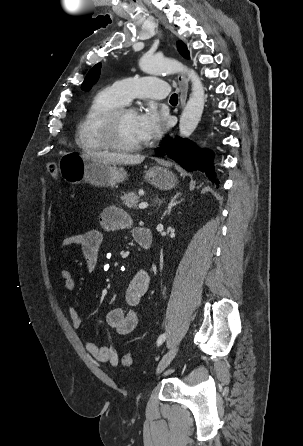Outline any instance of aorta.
Segmentation results:
<instances>
[{"label": "aorta", "instance_id": "1", "mask_svg": "<svg viewBox=\"0 0 303 446\" xmlns=\"http://www.w3.org/2000/svg\"><path fill=\"white\" fill-rule=\"evenodd\" d=\"M141 70L147 74H162L183 72L192 83V93L181 114L179 131L182 137H189L196 129L205 104V92L201 79L197 73L188 69L178 61L159 58L155 56H143L139 62Z\"/></svg>", "mask_w": 303, "mask_h": 446}]
</instances>
